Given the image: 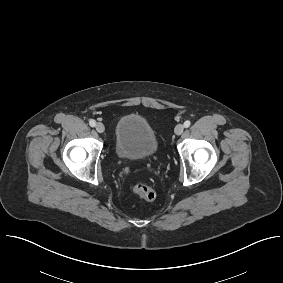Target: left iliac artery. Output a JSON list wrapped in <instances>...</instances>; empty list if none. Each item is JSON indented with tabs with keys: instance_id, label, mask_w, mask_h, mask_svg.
<instances>
[{
	"instance_id": "left-iliac-artery-1",
	"label": "left iliac artery",
	"mask_w": 283,
	"mask_h": 283,
	"mask_svg": "<svg viewBox=\"0 0 283 283\" xmlns=\"http://www.w3.org/2000/svg\"><path fill=\"white\" fill-rule=\"evenodd\" d=\"M190 124H191V122L187 120V121L184 122V127L188 128L190 126Z\"/></svg>"
}]
</instances>
